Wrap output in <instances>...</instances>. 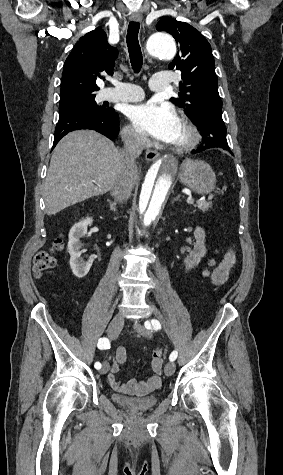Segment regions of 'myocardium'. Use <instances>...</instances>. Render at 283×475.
Listing matches in <instances>:
<instances>
[{"label":"myocardium","instance_id":"myocardium-1","mask_svg":"<svg viewBox=\"0 0 283 475\" xmlns=\"http://www.w3.org/2000/svg\"><path fill=\"white\" fill-rule=\"evenodd\" d=\"M180 122L184 129V138L179 144L173 145L172 149L178 154H186L197 145L200 132L197 126L183 112L180 113Z\"/></svg>","mask_w":283,"mask_h":475}]
</instances>
